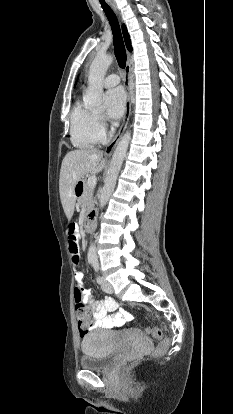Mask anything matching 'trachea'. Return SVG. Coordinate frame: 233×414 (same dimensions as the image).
Here are the masks:
<instances>
[{
    "mask_svg": "<svg viewBox=\"0 0 233 414\" xmlns=\"http://www.w3.org/2000/svg\"><path fill=\"white\" fill-rule=\"evenodd\" d=\"M101 6L109 20L112 33H113V44H114V52L117 59V62L121 68H125L126 66V51L125 46L119 26V22L117 20L116 15L114 14L113 10L109 7L104 0H100Z\"/></svg>",
    "mask_w": 233,
    "mask_h": 414,
    "instance_id": "trachea-1",
    "label": "trachea"
}]
</instances>
